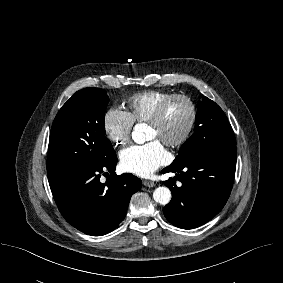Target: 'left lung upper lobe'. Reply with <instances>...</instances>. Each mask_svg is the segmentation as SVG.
I'll use <instances>...</instances> for the list:
<instances>
[{"label":"left lung upper lobe","mask_w":283,"mask_h":283,"mask_svg":"<svg viewBox=\"0 0 283 283\" xmlns=\"http://www.w3.org/2000/svg\"><path fill=\"white\" fill-rule=\"evenodd\" d=\"M234 147L236 140L225 113L215 102L203 97L198 103L194 133L182 145L171 165L200 154L221 152Z\"/></svg>","instance_id":"obj_1"}]
</instances>
